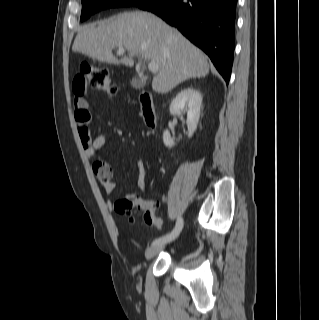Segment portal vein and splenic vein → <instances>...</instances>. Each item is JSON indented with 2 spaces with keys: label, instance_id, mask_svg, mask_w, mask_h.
Segmentation results:
<instances>
[{
  "label": "portal vein and splenic vein",
  "instance_id": "1",
  "mask_svg": "<svg viewBox=\"0 0 319 320\" xmlns=\"http://www.w3.org/2000/svg\"><path fill=\"white\" fill-rule=\"evenodd\" d=\"M118 53H119V54L125 53L124 48H119ZM158 68H159V67H158V64L155 63V62H150V63L148 64V69H149V71H151L152 73H157V72H158Z\"/></svg>",
  "mask_w": 319,
  "mask_h": 320
}]
</instances>
